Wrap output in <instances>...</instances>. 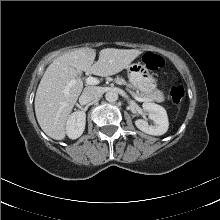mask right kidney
<instances>
[{
    "label": "right kidney",
    "instance_id": "obj_1",
    "mask_svg": "<svg viewBox=\"0 0 220 220\" xmlns=\"http://www.w3.org/2000/svg\"><path fill=\"white\" fill-rule=\"evenodd\" d=\"M86 124V114L84 111L72 113L66 123V133L70 139H77L82 135Z\"/></svg>",
    "mask_w": 220,
    "mask_h": 220
}]
</instances>
